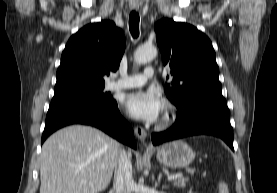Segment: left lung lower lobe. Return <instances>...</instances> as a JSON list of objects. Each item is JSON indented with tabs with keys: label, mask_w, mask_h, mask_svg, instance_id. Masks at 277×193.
Returning <instances> with one entry per match:
<instances>
[{
	"label": "left lung lower lobe",
	"mask_w": 277,
	"mask_h": 193,
	"mask_svg": "<svg viewBox=\"0 0 277 193\" xmlns=\"http://www.w3.org/2000/svg\"><path fill=\"white\" fill-rule=\"evenodd\" d=\"M200 134L220 137L234 150L230 111L221 93L205 94L192 100L184 110L178 112L171 129L152 134V143L157 145Z\"/></svg>",
	"instance_id": "0a47b994"
}]
</instances>
